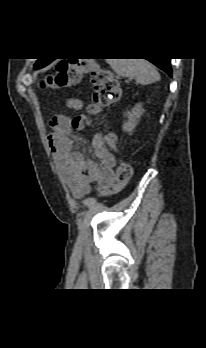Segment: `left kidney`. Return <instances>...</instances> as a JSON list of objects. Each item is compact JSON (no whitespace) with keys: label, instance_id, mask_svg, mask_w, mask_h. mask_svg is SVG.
Returning <instances> with one entry per match:
<instances>
[{"label":"left kidney","instance_id":"left-kidney-1","mask_svg":"<svg viewBox=\"0 0 206 348\" xmlns=\"http://www.w3.org/2000/svg\"><path fill=\"white\" fill-rule=\"evenodd\" d=\"M144 110H143V104L142 103H138L136 104L131 112H128L126 114L128 120L126 122H124L123 124V130L124 131H132L137 124L138 119L141 117V115L143 114Z\"/></svg>","mask_w":206,"mask_h":348}]
</instances>
